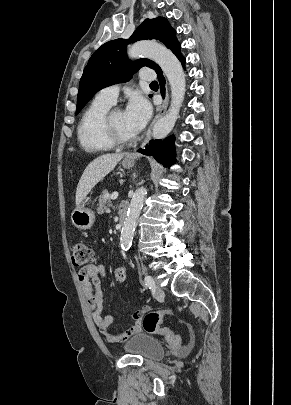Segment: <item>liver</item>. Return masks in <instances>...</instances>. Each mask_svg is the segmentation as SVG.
Segmentation results:
<instances>
[{
  "mask_svg": "<svg viewBox=\"0 0 291 405\" xmlns=\"http://www.w3.org/2000/svg\"><path fill=\"white\" fill-rule=\"evenodd\" d=\"M123 158V154H104L94 159L84 170L76 190V208L93 187L109 174Z\"/></svg>",
  "mask_w": 291,
  "mask_h": 405,
  "instance_id": "obj_1",
  "label": "liver"
}]
</instances>
